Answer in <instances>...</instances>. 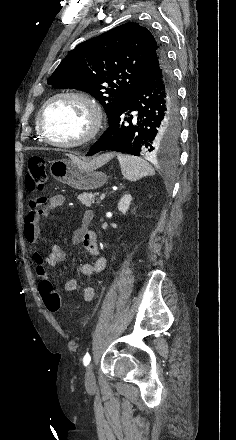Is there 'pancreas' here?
<instances>
[{"instance_id": "1", "label": "pancreas", "mask_w": 236, "mask_h": 440, "mask_svg": "<svg viewBox=\"0 0 236 440\" xmlns=\"http://www.w3.org/2000/svg\"><path fill=\"white\" fill-rule=\"evenodd\" d=\"M98 193H83L78 195L79 201L86 207H91L95 203V198Z\"/></svg>"}]
</instances>
